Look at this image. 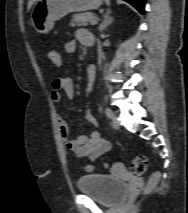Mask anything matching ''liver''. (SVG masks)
Here are the masks:
<instances>
[{
	"mask_svg": "<svg viewBox=\"0 0 188 213\" xmlns=\"http://www.w3.org/2000/svg\"><path fill=\"white\" fill-rule=\"evenodd\" d=\"M38 0H29L28 1V10H30V8L32 7V5L37 2Z\"/></svg>",
	"mask_w": 188,
	"mask_h": 213,
	"instance_id": "6515ba94",
	"label": "liver"
}]
</instances>
